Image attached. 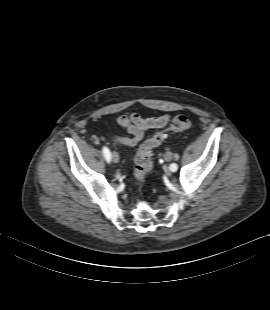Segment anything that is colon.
Returning a JSON list of instances; mask_svg holds the SVG:
<instances>
[{
	"label": "colon",
	"mask_w": 270,
	"mask_h": 310,
	"mask_svg": "<svg viewBox=\"0 0 270 310\" xmlns=\"http://www.w3.org/2000/svg\"><path fill=\"white\" fill-rule=\"evenodd\" d=\"M192 126L191 120L184 115L173 117L166 129L155 133L153 136L142 142L135 155L134 180L135 184L142 186L145 183L146 175L153 168L152 150L164 142L170 132L188 131Z\"/></svg>",
	"instance_id": "1"
}]
</instances>
